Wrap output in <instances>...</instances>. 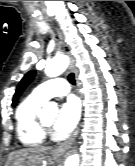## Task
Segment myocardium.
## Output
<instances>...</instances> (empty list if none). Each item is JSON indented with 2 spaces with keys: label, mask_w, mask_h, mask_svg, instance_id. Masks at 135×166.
Wrapping results in <instances>:
<instances>
[{
  "label": "myocardium",
  "mask_w": 135,
  "mask_h": 166,
  "mask_svg": "<svg viewBox=\"0 0 135 166\" xmlns=\"http://www.w3.org/2000/svg\"><path fill=\"white\" fill-rule=\"evenodd\" d=\"M38 124L45 135H49L52 133L51 127L46 125L40 116H38Z\"/></svg>",
  "instance_id": "myocardium-1"
}]
</instances>
